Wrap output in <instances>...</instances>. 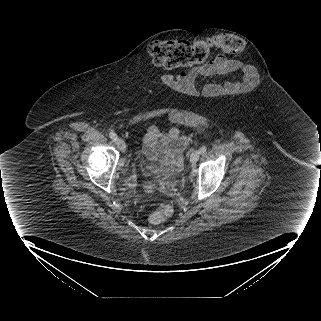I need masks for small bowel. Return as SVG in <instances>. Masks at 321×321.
Masks as SVG:
<instances>
[{"label":"small bowel","instance_id":"1","mask_svg":"<svg viewBox=\"0 0 321 321\" xmlns=\"http://www.w3.org/2000/svg\"><path fill=\"white\" fill-rule=\"evenodd\" d=\"M239 68L237 61L220 54L213 61L192 67L186 72L170 73L165 75L168 84L176 89L190 91L195 88L196 81L201 76H209L224 72H231ZM244 79L235 78L233 81L225 79L223 82L200 84L196 93L200 97L225 95L234 92H251L261 82V77L254 67H242ZM143 152L146 156L157 161L162 171L169 175L182 167V153L188 146V139L179 128H172L161 132L155 125H150L142 138Z\"/></svg>","mask_w":321,"mask_h":321}]
</instances>
